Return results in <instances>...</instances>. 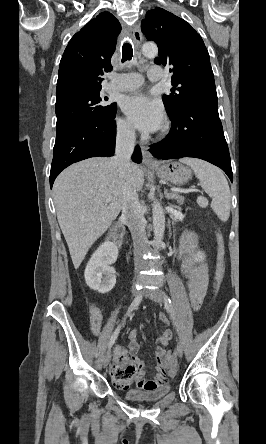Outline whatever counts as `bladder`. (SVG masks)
Returning a JSON list of instances; mask_svg holds the SVG:
<instances>
[{"mask_svg":"<svg viewBox=\"0 0 266 444\" xmlns=\"http://www.w3.org/2000/svg\"><path fill=\"white\" fill-rule=\"evenodd\" d=\"M170 390L171 387L169 384L158 388L145 390L131 388L124 391V396L134 401H157L165 397Z\"/></svg>","mask_w":266,"mask_h":444,"instance_id":"bladder-1","label":"bladder"}]
</instances>
